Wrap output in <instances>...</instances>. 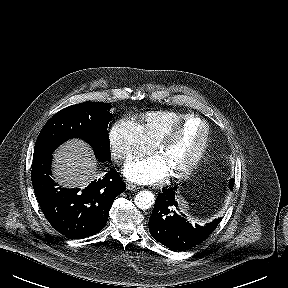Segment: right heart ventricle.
Returning <instances> with one entry per match:
<instances>
[{
	"mask_svg": "<svg viewBox=\"0 0 288 288\" xmlns=\"http://www.w3.org/2000/svg\"><path fill=\"white\" fill-rule=\"evenodd\" d=\"M190 115V113L174 110L149 111L139 117L138 125L150 146L173 124Z\"/></svg>",
	"mask_w": 288,
	"mask_h": 288,
	"instance_id": "right-heart-ventricle-1",
	"label": "right heart ventricle"
}]
</instances>
